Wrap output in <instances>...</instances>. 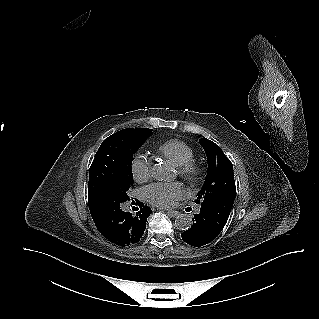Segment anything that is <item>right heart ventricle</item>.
<instances>
[{"mask_svg": "<svg viewBox=\"0 0 319 319\" xmlns=\"http://www.w3.org/2000/svg\"><path fill=\"white\" fill-rule=\"evenodd\" d=\"M157 151L175 166H182L194 158L192 148L182 140L172 139L162 143Z\"/></svg>", "mask_w": 319, "mask_h": 319, "instance_id": "e07e8e85", "label": "right heart ventricle"}]
</instances>
